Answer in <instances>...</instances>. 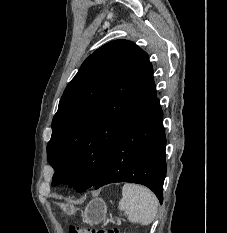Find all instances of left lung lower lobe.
Returning <instances> with one entry per match:
<instances>
[{
    "mask_svg": "<svg viewBox=\"0 0 227 233\" xmlns=\"http://www.w3.org/2000/svg\"><path fill=\"white\" fill-rule=\"evenodd\" d=\"M162 121L159 99H155L120 136L95 189L113 182L138 183L150 188L162 204L166 175Z\"/></svg>",
    "mask_w": 227,
    "mask_h": 233,
    "instance_id": "0a47b994",
    "label": "left lung lower lobe"
}]
</instances>
